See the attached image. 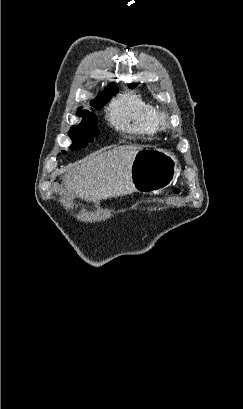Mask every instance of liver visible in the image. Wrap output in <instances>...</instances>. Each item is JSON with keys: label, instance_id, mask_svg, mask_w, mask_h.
<instances>
[{"label": "liver", "instance_id": "liver-1", "mask_svg": "<svg viewBox=\"0 0 243 409\" xmlns=\"http://www.w3.org/2000/svg\"><path fill=\"white\" fill-rule=\"evenodd\" d=\"M140 147L123 145L69 164L63 177L67 190L76 197L99 204L100 200L134 191L131 165Z\"/></svg>", "mask_w": 243, "mask_h": 409}]
</instances>
